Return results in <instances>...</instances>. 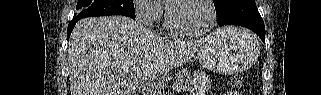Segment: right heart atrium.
Masks as SVG:
<instances>
[{"label": "right heart atrium", "mask_w": 321, "mask_h": 95, "mask_svg": "<svg viewBox=\"0 0 321 95\" xmlns=\"http://www.w3.org/2000/svg\"><path fill=\"white\" fill-rule=\"evenodd\" d=\"M133 9L137 20L148 26L158 22L162 16V8L157 0H136Z\"/></svg>", "instance_id": "1"}]
</instances>
